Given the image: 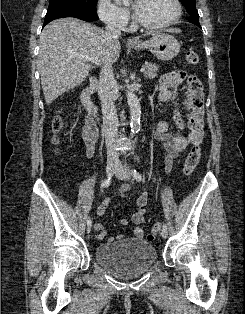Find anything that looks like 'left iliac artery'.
Wrapping results in <instances>:
<instances>
[{
    "instance_id": "1",
    "label": "left iliac artery",
    "mask_w": 245,
    "mask_h": 314,
    "mask_svg": "<svg viewBox=\"0 0 245 314\" xmlns=\"http://www.w3.org/2000/svg\"><path fill=\"white\" fill-rule=\"evenodd\" d=\"M132 175L136 181H139V182L142 181V175L139 172H137L136 170H132ZM163 229L167 230L166 224H163Z\"/></svg>"
}]
</instances>
